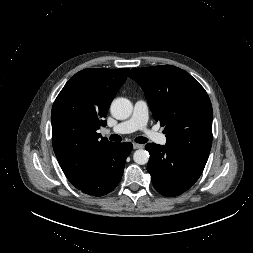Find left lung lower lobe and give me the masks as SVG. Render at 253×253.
Instances as JSON below:
<instances>
[{
	"mask_svg": "<svg viewBox=\"0 0 253 253\" xmlns=\"http://www.w3.org/2000/svg\"><path fill=\"white\" fill-rule=\"evenodd\" d=\"M147 171L154 188L162 195L174 197L187 191L202 174L205 164L175 153L166 146L149 143Z\"/></svg>",
	"mask_w": 253,
	"mask_h": 253,
	"instance_id": "0a47b994",
	"label": "left lung lower lobe"
}]
</instances>
